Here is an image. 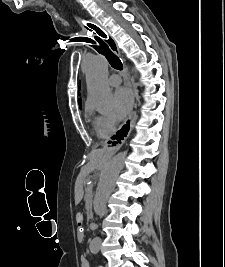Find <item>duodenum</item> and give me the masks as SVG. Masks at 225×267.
<instances>
[{"mask_svg":"<svg viewBox=\"0 0 225 267\" xmlns=\"http://www.w3.org/2000/svg\"><path fill=\"white\" fill-rule=\"evenodd\" d=\"M90 227H91L92 229H95V228H96V225H95L94 223H91V224H90Z\"/></svg>","mask_w":225,"mask_h":267,"instance_id":"obj_1","label":"duodenum"}]
</instances>
